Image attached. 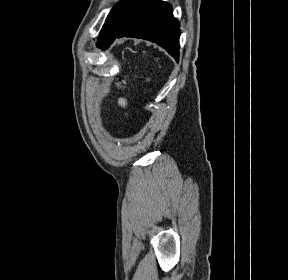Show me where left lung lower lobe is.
<instances>
[{"mask_svg": "<svg viewBox=\"0 0 288 280\" xmlns=\"http://www.w3.org/2000/svg\"><path fill=\"white\" fill-rule=\"evenodd\" d=\"M121 37L154 42L179 61L180 25L173 17L172 6L162 0H146L128 17L111 40L100 48L107 49L116 38Z\"/></svg>", "mask_w": 288, "mask_h": 280, "instance_id": "left-lung-lower-lobe-1", "label": "left lung lower lobe"}]
</instances>
